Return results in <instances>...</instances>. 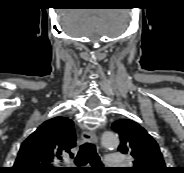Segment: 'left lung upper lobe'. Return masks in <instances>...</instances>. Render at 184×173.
Instances as JSON below:
<instances>
[{
	"instance_id": "1",
	"label": "left lung upper lobe",
	"mask_w": 184,
	"mask_h": 173,
	"mask_svg": "<svg viewBox=\"0 0 184 173\" xmlns=\"http://www.w3.org/2000/svg\"><path fill=\"white\" fill-rule=\"evenodd\" d=\"M112 130L120 137L118 150L133 159L134 167L123 168L122 173H167L158 144L139 124L121 119L112 124Z\"/></svg>"
}]
</instances>
